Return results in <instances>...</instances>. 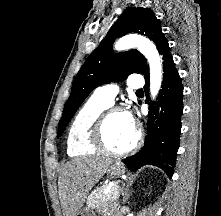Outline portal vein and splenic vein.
<instances>
[{
  "label": "portal vein and splenic vein",
  "mask_w": 221,
  "mask_h": 216,
  "mask_svg": "<svg viewBox=\"0 0 221 216\" xmlns=\"http://www.w3.org/2000/svg\"><path fill=\"white\" fill-rule=\"evenodd\" d=\"M117 187H119V186H117ZM117 187H116V188H117ZM110 191H111V190H110ZM110 191H105V193H108V192H110Z\"/></svg>",
  "instance_id": "1"
}]
</instances>
